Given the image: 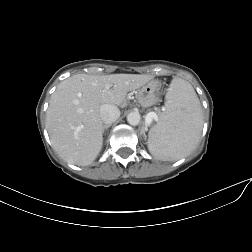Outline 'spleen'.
<instances>
[{"label": "spleen", "instance_id": "1", "mask_svg": "<svg viewBox=\"0 0 252 252\" xmlns=\"http://www.w3.org/2000/svg\"><path fill=\"white\" fill-rule=\"evenodd\" d=\"M165 99V111L149 131L148 149L159 160H178L188 155L200 138L202 108L192 85L181 78L171 81Z\"/></svg>", "mask_w": 252, "mask_h": 252}]
</instances>
